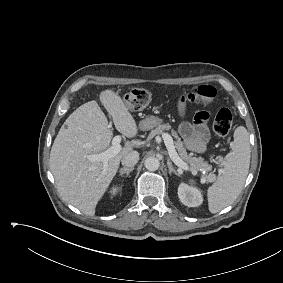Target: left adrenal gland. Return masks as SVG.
<instances>
[{
	"label": "left adrenal gland",
	"mask_w": 283,
	"mask_h": 283,
	"mask_svg": "<svg viewBox=\"0 0 283 283\" xmlns=\"http://www.w3.org/2000/svg\"><path fill=\"white\" fill-rule=\"evenodd\" d=\"M167 166H168V169H169V174L171 175L172 173H174L175 175H177V176H181V173L180 172H177L174 168H173V166H172V163L168 160L167 161Z\"/></svg>",
	"instance_id": "a2214340"
}]
</instances>
